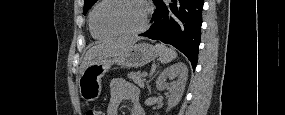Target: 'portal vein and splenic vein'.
Masks as SVG:
<instances>
[{"label": "portal vein and splenic vein", "instance_id": "obj_1", "mask_svg": "<svg viewBox=\"0 0 285 115\" xmlns=\"http://www.w3.org/2000/svg\"><path fill=\"white\" fill-rule=\"evenodd\" d=\"M148 75V73L146 72V71H144L143 73H142V76L143 77H146Z\"/></svg>", "mask_w": 285, "mask_h": 115}]
</instances>
